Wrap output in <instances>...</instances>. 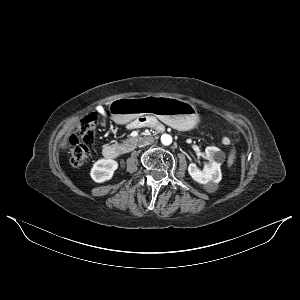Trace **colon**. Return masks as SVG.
<instances>
[{"mask_svg":"<svg viewBox=\"0 0 300 300\" xmlns=\"http://www.w3.org/2000/svg\"><path fill=\"white\" fill-rule=\"evenodd\" d=\"M97 129V117L88 116L77 125L76 133L68 139L70 163L79 167L90 155V147L94 143Z\"/></svg>","mask_w":300,"mask_h":300,"instance_id":"colon-1","label":"colon"}]
</instances>
